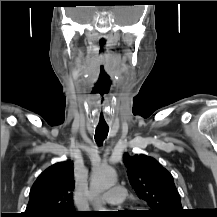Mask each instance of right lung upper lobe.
Masks as SVG:
<instances>
[{
    "mask_svg": "<svg viewBox=\"0 0 217 217\" xmlns=\"http://www.w3.org/2000/svg\"><path fill=\"white\" fill-rule=\"evenodd\" d=\"M73 163L58 162L42 172L33 184L24 217L77 215L73 205Z\"/></svg>",
    "mask_w": 217,
    "mask_h": 217,
    "instance_id": "cb5924a9",
    "label": "right lung upper lobe"
}]
</instances>
